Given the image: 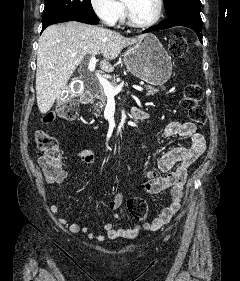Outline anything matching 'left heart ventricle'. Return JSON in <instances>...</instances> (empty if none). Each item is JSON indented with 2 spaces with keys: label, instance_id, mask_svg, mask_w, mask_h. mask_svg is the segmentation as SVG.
Returning a JSON list of instances; mask_svg holds the SVG:
<instances>
[{
  "label": "left heart ventricle",
  "instance_id": "left-heart-ventricle-1",
  "mask_svg": "<svg viewBox=\"0 0 240 281\" xmlns=\"http://www.w3.org/2000/svg\"><path fill=\"white\" fill-rule=\"evenodd\" d=\"M128 4L132 17L137 22L150 21L157 9L156 0H125Z\"/></svg>",
  "mask_w": 240,
  "mask_h": 281
}]
</instances>
